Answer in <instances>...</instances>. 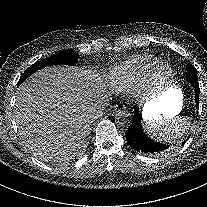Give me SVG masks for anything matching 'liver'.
<instances>
[{"label":"liver","mask_w":207,"mask_h":207,"mask_svg":"<svg viewBox=\"0 0 207 207\" xmlns=\"http://www.w3.org/2000/svg\"><path fill=\"white\" fill-rule=\"evenodd\" d=\"M91 77L76 67L52 66L19 87L15 121L19 137L34 156L68 155L82 147L96 111Z\"/></svg>","instance_id":"liver-1"}]
</instances>
